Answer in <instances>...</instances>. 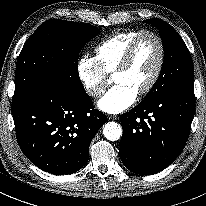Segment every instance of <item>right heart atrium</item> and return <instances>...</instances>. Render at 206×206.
<instances>
[{
  "label": "right heart atrium",
  "mask_w": 206,
  "mask_h": 206,
  "mask_svg": "<svg viewBox=\"0 0 206 206\" xmlns=\"http://www.w3.org/2000/svg\"><path fill=\"white\" fill-rule=\"evenodd\" d=\"M77 72L78 78L89 96L97 98L104 93L107 75L95 57H81Z\"/></svg>",
  "instance_id": "obj_1"
}]
</instances>
